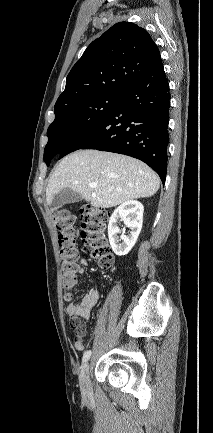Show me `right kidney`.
Returning a JSON list of instances; mask_svg holds the SVG:
<instances>
[{"mask_svg":"<svg viewBox=\"0 0 213 433\" xmlns=\"http://www.w3.org/2000/svg\"><path fill=\"white\" fill-rule=\"evenodd\" d=\"M143 205L136 200H129L116 208L108 224V237L112 250L118 256L128 254L135 245L143 223ZM121 220L130 229L128 235H122L119 243L117 234L120 233L118 221Z\"/></svg>","mask_w":213,"mask_h":433,"instance_id":"obj_1","label":"right kidney"}]
</instances>
